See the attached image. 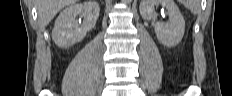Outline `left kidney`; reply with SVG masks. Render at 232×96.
<instances>
[{"label":"left kidney","mask_w":232,"mask_h":96,"mask_svg":"<svg viewBox=\"0 0 232 96\" xmlns=\"http://www.w3.org/2000/svg\"><path fill=\"white\" fill-rule=\"evenodd\" d=\"M158 4L168 11L169 21L154 24L157 39L164 46L174 47L181 42L184 36L185 21L173 0H142L140 14L144 19L155 21L157 15L154 7Z\"/></svg>","instance_id":"1"}]
</instances>
